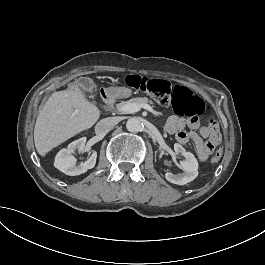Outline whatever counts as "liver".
I'll return each mask as SVG.
<instances>
[{"mask_svg": "<svg viewBox=\"0 0 265 265\" xmlns=\"http://www.w3.org/2000/svg\"><path fill=\"white\" fill-rule=\"evenodd\" d=\"M100 115V109L85 99L77 83L51 93L34 126L37 153L46 157L56 147L92 128Z\"/></svg>", "mask_w": 265, "mask_h": 265, "instance_id": "obj_1", "label": "liver"}]
</instances>
